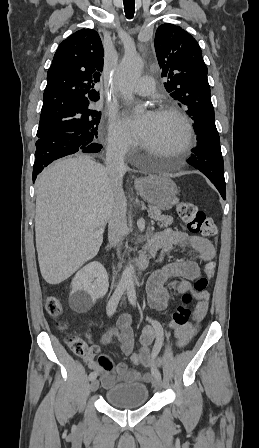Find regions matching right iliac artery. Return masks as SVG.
<instances>
[{"mask_svg":"<svg viewBox=\"0 0 259 448\" xmlns=\"http://www.w3.org/2000/svg\"><path fill=\"white\" fill-rule=\"evenodd\" d=\"M127 288V284L125 283H120L118 284L117 288L115 289L113 295L111 296L108 304H107V315L108 316H112L117 308V305L122 297V295L124 294L125 290ZM97 377V373L96 372H91L89 374V379L90 380H94Z\"/></svg>","mask_w":259,"mask_h":448,"instance_id":"82829eb1","label":"right iliac artery"}]
</instances>
